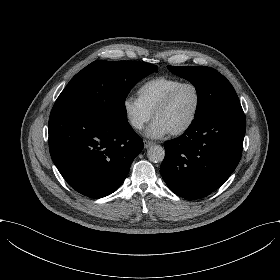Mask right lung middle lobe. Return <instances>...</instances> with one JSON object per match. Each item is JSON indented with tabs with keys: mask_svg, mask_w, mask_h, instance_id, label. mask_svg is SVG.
<instances>
[{
	"mask_svg": "<svg viewBox=\"0 0 280 280\" xmlns=\"http://www.w3.org/2000/svg\"><path fill=\"white\" fill-rule=\"evenodd\" d=\"M157 66L133 61H94L78 72L54 107H72L105 119L127 120L125 99L131 88Z\"/></svg>",
	"mask_w": 280,
	"mask_h": 280,
	"instance_id": "right-lung-middle-lobe-1",
	"label": "right lung middle lobe"
}]
</instances>
